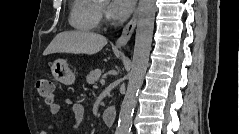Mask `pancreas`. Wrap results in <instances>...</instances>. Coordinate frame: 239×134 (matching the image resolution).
<instances>
[{"label":"pancreas","mask_w":239,"mask_h":134,"mask_svg":"<svg viewBox=\"0 0 239 134\" xmlns=\"http://www.w3.org/2000/svg\"><path fill=\"white\" fill-rule=\"evenodd\" d=\"M102 71L100 69H95L92 70L87 76H86V82L88 84H95L100 76H101Z\"/></svg>","instance_id":"pancreas-1"}]
</instances>
